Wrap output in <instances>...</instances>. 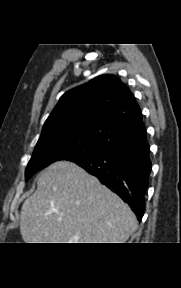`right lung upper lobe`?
Returning a JSON list of instances; mask_svg holds the SVG:
<instances>
[{"label":"right lung upper lobe","instance_id":"1","mask_svg":"<svg viewBox=\"0 0 181 288\" xmlns=\"http://www.w3.org/2000/svg\"><path fill=\"white\" fill-rule=\"evenodd\" d=\"M73 136L88 138L106 149L147 141L133 94L111 74L67 91L46 120L39 141Z\"/></svg>","mask_w":181,"mask_h":288}]
</instances>
